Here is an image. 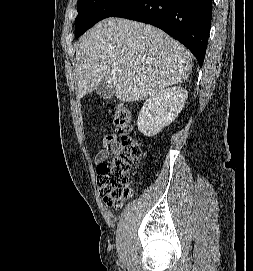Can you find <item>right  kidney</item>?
<instances>
[{"label": "right kidney", "instance_id": "1", "mask_svg": "<svg viewBox=\"0 0 253 271\" xmlns=\"http://www.w3.org/2000/svg\"><path fill=\"white\" fill-rule=\"evenodd\" d=\"M188 91L180 86L171 87L147 99L138 116V130L147 137L158 134L174 121L184 107Z\"/></svg>", "mask_w": 253, "mask_h": 271}]
</instances>
